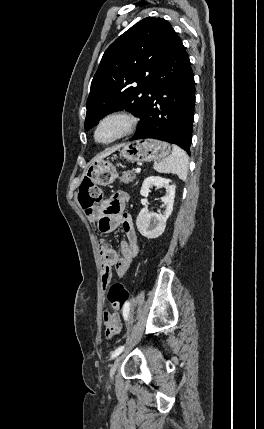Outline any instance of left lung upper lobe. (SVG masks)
Instances as JSON below:
<instances>
[{
  "label": "left lung upper lobe",
  "mask_w": 264,
  "mask_h": 429,
  "mask_svg": "<svg viewBox=\"0 0 264 429\" xmlns=\"http://www.w3.org/2000/svg\"><path fill=\"white\" fill-rule=\"evenodd\" d=\"M172 30L165 19L148 17L107 48L91 83L85 130L114 111L127 109L141 116Z\"/></svg>",
  "instance_id": "5c2ea615"
}]
</instances>
